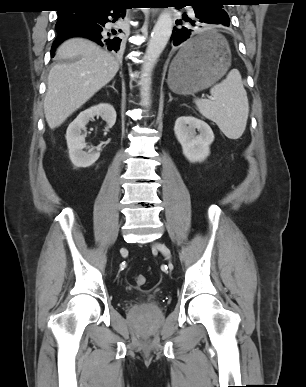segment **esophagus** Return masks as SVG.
<instances>
[{
  "mask_svg": "<svg viewBox=\"0 0 306 387\" xmlns=\"http://www.w3.org/2000/svg\"><path fill=\"white\" fill-rule=\"evenodd\" d=\"M159 13V9H151V14L153 16L157 15Z\"/></svg>",
  "mask_w": 306,
  "mask_h": 387,
  "instance_id": "obj_1",
  "label": "esophagus"
}]
</instances>
